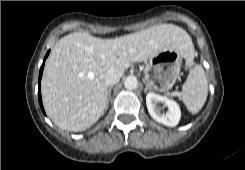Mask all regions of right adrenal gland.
<instances>
[{"label":"right adrenal gland","instance_id":"obj_1","mask_svg":"<svg viewBox=\"0 0 245 170\" xmlns=\"http://www.w3.org/2000/svg\"><path fill=\"white\" fill-rule=\"evenodd\" d=\"M111 89H112V86H110L109 89H108V100H107L106 108H108V104H109V101H110V98H111Z\"/></svg>","mask_w":245,"mask_h":170}]
</instances>
